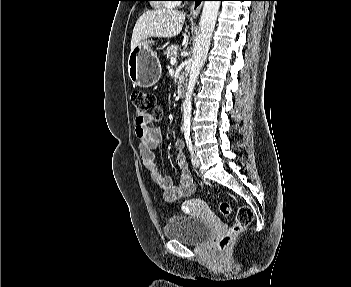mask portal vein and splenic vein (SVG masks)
<instances>
[{
  "mask_svg": "<svg viewBox=\"0 0 351 287\" xmlns=\"http://www.w3.org/2000/svg\"><path fill=\"white\" fill-rule=\"evenodd\" d=\"M176 60H177L176 57H173V58H171L170 63L172 65H174L176 63Z\"/></svg>",
  "mask_w": 351,
  "mask_h": 287,
  "instance_id": "portal-vein-and-splenic-vein-1",
  "label": "portal vein and splenic vein"
}]
</instances>
